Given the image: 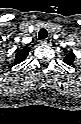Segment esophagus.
Masks as SVG:
<instances>
[{
	"label": "esophagus",
	"instance_id": "34e87169",
	"mask_svg": "<svg viewBox=\"0 0 81 124\" xmlns=\"http://www.w3.org/2000/svg\"><path fill=\"white\" fill-rule=\"evenodd\" d=\"M40 42H41V44L50 45L52 43V39H51V37H48L46 39L41 40Z\"/></svg>",
	"mask_w": 81,
	"mask_h": 124
}]
</instances>
